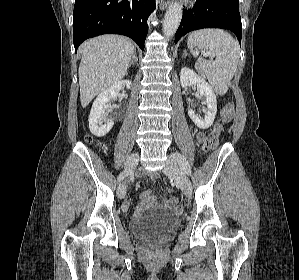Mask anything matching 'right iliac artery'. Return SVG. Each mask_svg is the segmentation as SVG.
I'll return each mask as SVG.
<instances>
[{
    "instance_id": "1",
    "label": "right iliac artery",
    "mask_w": 299,
    "mask_h": 280,
    "mask_svg": "<svg viewBox=\"0 0 299 280\" xmlns=\"http://www.w3.org/2000/svg\"><path fill=\"white\" fill-rule=\"evenodd\" d=\"M127 175H128L127 171L120 173L118 176V182H121Z\"/></svg>"
}]
</instances>
